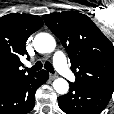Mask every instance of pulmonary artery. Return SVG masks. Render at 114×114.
Segmentation results:
<instances>
[{"label":"pulmonary artery","mask_w":114,"mask_h":114,"mask_svg":"<svg viewBox=\"0 0 114 114\" xmlns=\"http://www.w3.org/2000/svg\"><path fill=\"white\" fill-rule=\"evenodd\" d=\"M53 62L58 72H60L65 78L69 80L75 79L74 74L71 72V70L68 67L64 53H62L61 51H57L54 54Z\"/></svg>","instance_id":"obj_1"}]
</instances>
